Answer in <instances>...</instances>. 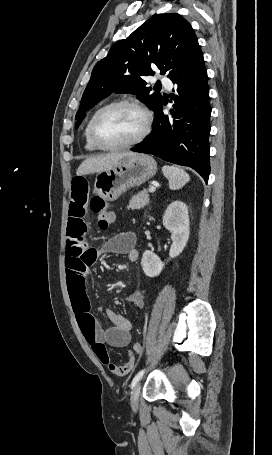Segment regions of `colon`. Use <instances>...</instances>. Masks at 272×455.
Wrapping results in <instances>:
<instances>
[{
	"label": "colon",
	"instance_id": "colon-1",
	"mask_svg": "<svg viewBox=\"0 0 272 455\" xmlns=\"http://www.w3.org/2000/svg\"><path fill=\"white\" fill-rule=\"evenodd\" d=\"M90 209L95 216L98 227L101 230H107L114 219V215L107 207L106 203L99 197H93L90 202ZM133 350L135 354L141 355L143 352V345L137 342L135 343Z\"/></svg>",
	"mask_w": 272,
	"mask_h": 455
}]
</instances>
